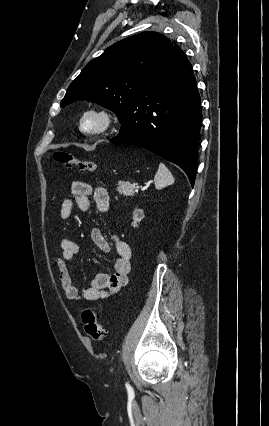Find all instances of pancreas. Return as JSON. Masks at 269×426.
<instances>
[{
  "label": "pancreas",
  "instance_id": "cf45deb5",
  "mask_svg": "<svg viewBox=\"0 0 269 426\" xmlns=\"http://www.w3.org/2000/svg\"><path fill=\"white\" fill-rule=\"evenodd\" d=\"M135 184L125 181H120L117 186V191L123 196L135 195Z\"/></svg>",
  "mask_w": 269,
  "mask_h": 426
}]
</instances>
